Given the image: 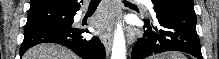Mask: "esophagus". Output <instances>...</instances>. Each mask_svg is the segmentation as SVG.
Returning <instances> with one entry per match:
<instances>
[{
	"label": "esophagus",
	"mask_w": 219,
	"mask_h": 59,
	"mask_svg": "<svg viewBox=\"0 0 219 59\" xmlns=\"http://www.w3.org/2000/svg\"><path fill=\"white\" fill-rule=\"evenodd\" d=\"M109 4L111 5L110 10L108 11L106 20H105V31L100 34V39L103 42L106 50L107 56L109 55L112 47V35L110 31V24L118 10V0H109Z\"/></svg>",
	"instance_id": "obj_1"
}]
</instances>
